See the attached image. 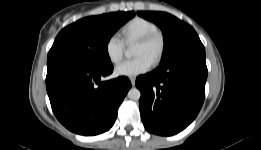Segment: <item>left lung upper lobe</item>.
<instances>
[{
    "label": "left lung upper lobe",
    "mask_w": 261,
    "mask_h": 150,
    "mask_svg": "<svg viewBox=\"0 0 261 150\" xmlns=\"http://www.w3.org/2000/svg\"><path fill=\"white\" fill-rule=\"evenodd\" d=\"M137 14L154 22L162 30L165 42L162 61L171 55L180 45L191 39L199 38L195 30L190 25L168 13L139 11Z\"/></svg>",
    "instance_id": "obj_1"
}]
</instances>
